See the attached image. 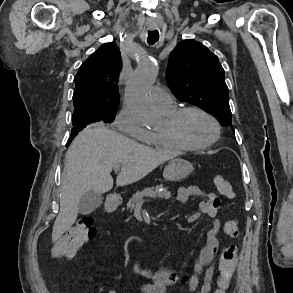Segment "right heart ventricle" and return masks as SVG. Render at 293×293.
I'll return each mask as SVG.
<instances>
[{
	"instance_id": "obj_1",
	"label": "right heart ventricle",
	"mask_w": 293,
	"mask_h": 293,
	"mask_svg": "<svg viewBox=\"0 0 293 293\" xmlns=\"http://www.w3.org/2000/svg\"><path fill=\"white\" fill-rule=\"evenodd\" d=\"M175 110L176 107L173 106L172 108L162 111L166 116H169ZM145 142L151 147L165 151H183L187 149L186 147L166 135L163 130L151 132L150 137Z\"/></svg>"
}]
</instances>
